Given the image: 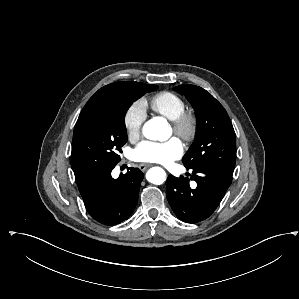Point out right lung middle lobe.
<instances>
[{"label":"right lung middle lobe","mask_w":299,"mask_h":299,"mask_svg":"<svg viewBox=\"0 0 299 299\" xmlns=\"http://www.w3.org/2000/svg\"><path fill=\"white\" fill-rule=\"evenodd\" d=\"M155 89L156 85L143 83L137 91L115 95L76 123L71 165L77 184L120 161L118 153L128 139L125 114L134 101Z\"/></svg>","instance_id":"dd1d6c3e"}]
</instances>
